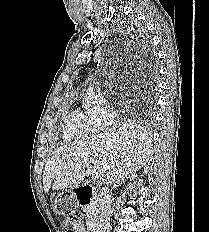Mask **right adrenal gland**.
I'll return each instance as SVG.
<instances>
[{
  "label": "right adrenal gland",
  "mask_w": 209,
  "mask_h": 232,
  "mask_svg": "<svg viewBox=\"0 0 209 232\" xmlns=\"http://www.w3.org/2000/svg\"><path fill=\"white\" fill-rule=\"evenodd\" d=\"M129 178H131V175H128V176L126 177V179H129ZM122 182H124V179H123L121 182L115 184V185L113 186V190H115L118 186H120V185L122 184Z\"/></svg>",
  "instance_id": "obj_1"
}]
</instances>
